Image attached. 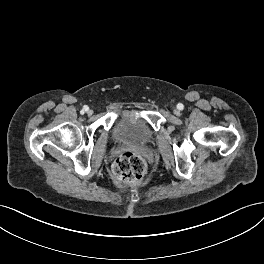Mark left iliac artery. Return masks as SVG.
<instances>
[{
  "label": "left iliac artery",
  "instance_id": "obj_1",
  "mask_svg": "<svg viewBox=\"0 0 264 264\" xmlns=\"http://www.w3.org/2000/svg\"><path fill=\"white\" fill-rule=\"evenodd\" d=\"M177 108H178L179 110H183L184 106H183V104L179 103V104L177 105Z\"/></svg>",
  "mask_w": 264,
  "mask_h": 264
}]
</instances>
